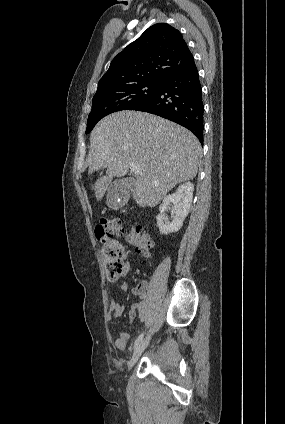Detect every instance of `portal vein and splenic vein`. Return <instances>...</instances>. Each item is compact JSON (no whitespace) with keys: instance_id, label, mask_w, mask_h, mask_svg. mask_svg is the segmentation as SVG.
Here are the masks:
<instances>
[{"instance_id":"18ae733b","label":"portal vein and splenic vein","mask_w":285,"mask_h":424,"mask_svg":"<svg viewBox=\"0 0 285 424\" xmlns=\"http://www.w3.org/2000/svg\"><path fill=\"white\" fill-rule=\"evenodd\" d=\"M130 169H131V172H133L135 175L142 174V169H141V167L139 165H136L134 163H131L130 164Z\"/></svg>"}]
</instances>
